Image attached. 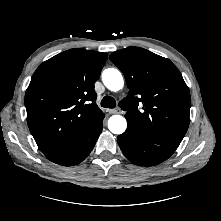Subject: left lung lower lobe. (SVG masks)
Returning a JSON list of instances; mask_svg holds the SVG:
<instances>
[{"label":"left lung lower lobe","mask_w":221,"mask_h":221,"mask_svg":"<svg viewBox=\"0 0 221 221\" xmlns=\"http://www.w3.org/2000/svg\"><path fill=\"white\" fill-rule=\"evenodd\" d=\"M125 157L138 166H153L167 160L175 150L156 145L145 139L128 123L127 130L117 137Z\"/></svg>","instance_id":"left-lung-lower-lobe-1"}]
</instances>
